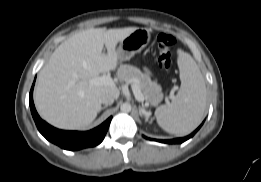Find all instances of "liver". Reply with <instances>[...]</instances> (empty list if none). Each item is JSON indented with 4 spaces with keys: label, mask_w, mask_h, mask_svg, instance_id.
Instances as JSON below:
<instances>
[{
    "label": "liver",
    "mask_w": 261,
    "mask_h": 182,
    "mask_svg": "<svg viewBox=\"0 0 261 182\" xmlns=\"http://www.w3.org/2000/svg\"><path fill=\"white\" fill-rule=\"evenodd\" d=\"M136 29L90 28L62 42L38 75L34 100L39 115L60 129H86L101 110L102 96L120 95L116 86L90 81L115 70L118 42Z\"/></svg>",
    "instance_id": "liver-1"
}]
</instances>
